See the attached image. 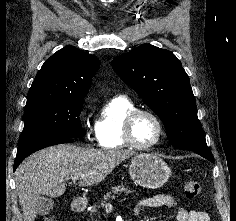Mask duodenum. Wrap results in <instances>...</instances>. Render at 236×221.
I'll list each match as a JSON object with an SVG mask.
<instances>
[{"label": "duodenum", "mask_w": 236, "mask_h": 221, "mask_svg": "<svg viewBox=\"0 0 236 221\" xmlns=\"http://www.w3.org/2000/svg\"><path fill=\"white\" fill-rule=\"evenodd\" d=\"M72 209L76 213H81L85 210V205L80 201H74L72 203Z\"/></svg>", "instance_id": "obj_1"}]
</instances>
